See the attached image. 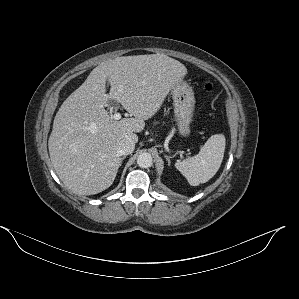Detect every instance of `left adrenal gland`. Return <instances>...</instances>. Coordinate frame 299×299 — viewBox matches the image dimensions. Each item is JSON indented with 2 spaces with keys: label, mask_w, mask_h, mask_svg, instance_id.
Listing matches in <instances>:
<instances>
[{
  "label": "left adrenal gland",
  "mask_w": 299,
  "mask_h": 299,
  "mask_svg": "<svg viewBox=\"0 0 299 299\" xmlns=\"http://www.w3.org/2000/svg\"><path fill=\"white\" fill-rule=\"evenodd\" d=\"M165 157H166V160L168 161V165H170L171 161H170L169 156L166 155Z\"/></svg>",
  "instance_id": "obj_1"
}]
</instances>
